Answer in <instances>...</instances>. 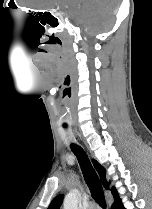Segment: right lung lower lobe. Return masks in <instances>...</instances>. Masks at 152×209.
I'll return each mask as SVG.
<instances>
[{
  "label": "right lung lower lobe",
  "mask_w": 152,
  "mask_h": 209,
  "mask_svg": "<svg viewBox=\"0 0 152 209\" xmlns=\"http://www.w3.org/2000/svg\"><path fill=\"white\" fill-rule=\"evenodd\" d=\"M113 197L115 202L112 204V209H125L121 203V200L118 198L117 191L113 192Z\"/></svg>",
  "instance_id": "obj_1"
}]
</instances>
